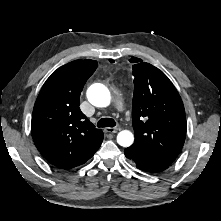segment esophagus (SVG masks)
<instances>
[{
  "label": "esophagus",
  "mask_w": 221,
  "mask_h": 221,
  "mask_svg": "<svg viewBox=\"0 0 221 221\" xmlns=\"http://www.w3.org/2000/svg\"><path fill=\"white\" fill-rule=\"evenodd\" d=\"M118 130H120V129L119 128H112V127L105 128V132L112 133V134L118 132Z\"/></svg>",
  "instance_id": "obj_1"
}]
</instances>
